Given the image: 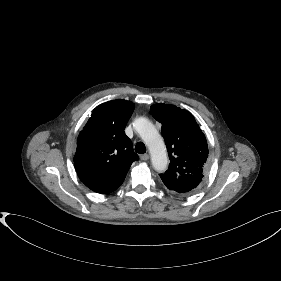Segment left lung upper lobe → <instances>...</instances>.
Here are the masks:
<instances>
[{
	"instance_id": "left-lung-upper-lobe-1",
	"label": "left lung upper lobe",
	"mask_w": 281,
	"mask_h": 281,
	"mask_svg": "<svg viewBox=\"0 0 281 281\" xmlns=\"http://www.w3.org/2000/svg\"><path fill=\"white\" fill-rule=\"evenodd\" d=\"M154 118L162 123L170 159L168 170L160 175L171 192L181 196L194 194L203 184L209 171L208 146L193 115L169 104L150 107Z\"/></svg>"
}]
</instances>
